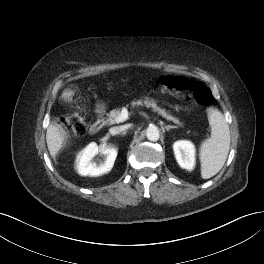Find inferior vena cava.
<instances>
[{
    "instance_id": "obj_1",
    "label": "inferior vena cava",
    "mask_w": 264,
    "mask_h": 264,
    "mask_svg": "<svg viewBox=\"0 0 264 264\" xmlns=\"http://www.w3.org/2000/svg\"><path fill=\"white\" fill-rule=\"evenodd\" d=\"M126 129V126H117L110 129L112 135L118 134Z\"/></svg>"
}]
</instances>
